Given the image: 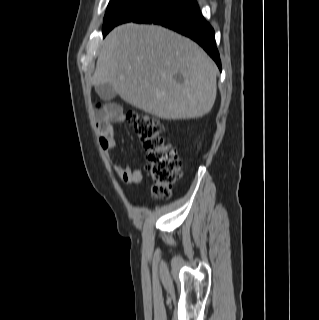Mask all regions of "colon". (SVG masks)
I'll use <instances>...</instances> for the list:
<instances>
[{
    "mask_svg": "<svg viewBox=\"0 0 319 320\" xmlns=\"http://www.w3.org/2000/svg\"><path fill=\"white\" fill-rule=\"evenodd\" d=\"M128 121L144 145L152 195L158 199L168 198L183 173V160L178 150L166 142L163 126L155 117L133 112L128 115Z\"/></svg>",
    "mask_w": 319,
    "mask_h": 320,
    "instance_id": "colon-1",
    "label": "colon"
}]
</instances>
